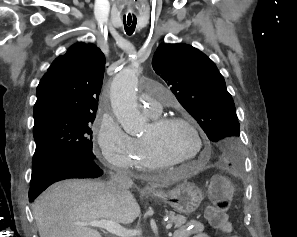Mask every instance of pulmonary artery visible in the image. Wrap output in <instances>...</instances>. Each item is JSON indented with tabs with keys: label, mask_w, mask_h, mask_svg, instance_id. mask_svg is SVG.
<instances>
[{
	"label": "pulmonary artery",
	"mask_w": 297,
	"mask_h": 237,
	"mask_svg": "<svg viewBox=\"0 0 297 237\" xmlns=\"http://www.w3.org/2000/svg\"><path fill=\"white\" fill-rule=\"evenodd\" d=\"M165 93H167V91L161 88L151 85L146 86L141 96V106L149 115H156L162 105L170 106L173 103V98L170 96L166 97L164 95Z\"/></svg>",
	"instance_id": "obj_1"
}]
</instances>
